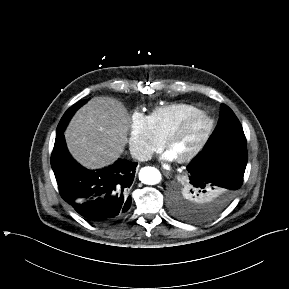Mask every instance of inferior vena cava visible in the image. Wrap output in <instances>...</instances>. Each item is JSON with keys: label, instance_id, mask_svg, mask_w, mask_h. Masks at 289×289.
<instances>
[{"label": "inferior vena cava", "instance_id": "inferior-vena-cava-1", "mask_svg": "<svg viewBox=\"0 0 289 289\" xmlns=\"http://www.w3.org/2000/svg\"><path fill=\"white\" fill-rule=\"evenodd\" d=\"M131 155L133 159L141 161V162L148 161L152 157L150 152L141 150V149H132Z\"/></svg>", "mask_w": 289, "mask_h": 289}]
</instances>
